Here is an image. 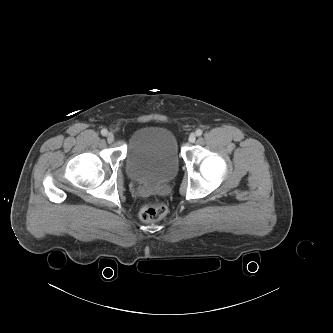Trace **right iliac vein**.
<instances>
[{
    "instance_id": "1",
    "label": "right iliac vein",
    "mask_w": 333,
    "mask_h": 333,
    "mask_svg": "<svg viewBox=\"0 0 333 333\" xmlns=\"http://www.w3.org/2000/svg\"><path fill=\"white\" fill-rule=\"evenodd\" d=\"M107 141H108L109 143H112V142L114 141V135H113L112 133H109V134L107 135Z\"/></svg>"
}]
</instances>
